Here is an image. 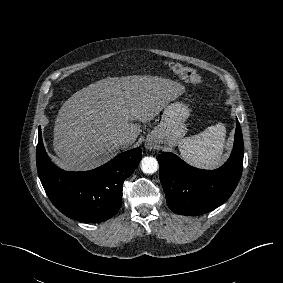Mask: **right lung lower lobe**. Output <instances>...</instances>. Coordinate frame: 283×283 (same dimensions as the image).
Listing matches in <instances>:
<instances>
[{
    "label": "right lung lower lobe",
    "instance_id": "right-lung-lower-lobe-1",
    "mask_svg": "<svg viewBox=\"0 0 283 283\" xmlns=\"http://www.w3.org/2000/svg\"><path fill=\"white\" fill-rule=\"evenodd\" d=\"M141 158V149L135 148L96 169L66 172L49 159L39 128L36 163L44 190L59 211L82 222H102L115 215L121 206L123 182Z\"/></svg>",
    "mask_w": 283,
    "mask_h": 283
}]
</instances>
